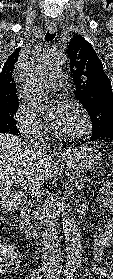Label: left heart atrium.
Here are the masks:
<instances>
[{"label":"left heart atrium","instance_id":"1","mask_svg":"<svg viewBox=\"0 0 113 279\" xmlns=\"http://www.w3.org/2000/svg\"><path fill=\"white\" fill-rule=\"evenodd\" d=\"M69 106L62 103L56 106L50 115V125L53 129L59 130L62 124L64 123L67 114H68Z\"/></svg>","mask_w":113,"mask_h":279}]
</instances>
